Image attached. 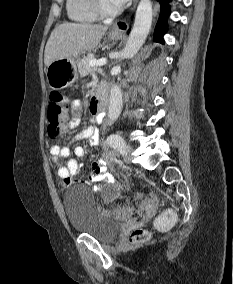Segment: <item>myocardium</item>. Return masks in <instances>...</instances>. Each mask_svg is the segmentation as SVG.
Wrapping results in <instances>:
<instances>
[{"instance_id": "myocardium-1", "label": "myocardium", "mask_w": 233, "mask_h": 284, "mask_svg": "<svg viewBox=\"0 0 233 284\" xmlns=\"http://www.w3.org/2000/svg\"><path fill=\"white\" fill-rule=\"evenodd\" d=\"M92 6L94 11L99 17L112 18L120 13V8L108 9L103 0H92Z\"/></svg>"}]
</instances>
